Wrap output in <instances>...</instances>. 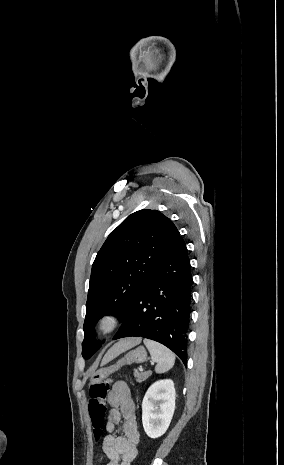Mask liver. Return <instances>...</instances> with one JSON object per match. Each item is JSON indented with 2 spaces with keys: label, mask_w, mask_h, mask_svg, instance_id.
I'll return each instance as SVG.
<instances>
[{
  "label": "liver",
  "mask_w": 284,
  "mask_h": 465,
  "mask_svg": "<svg viewBox=\"0 0 284 465\" xmlns=\"http://www.w3.org/2000/svg\"><path fill=\"white\" fill-rule=\"evenodd\" d=\"M140 341V337H127V339H120L119 343H115V345L109 349L108 353L104 355L101 367L106 365V363H109V361H113V359L118 357L120 353H124V351L132 349V347H135V345H139Z\"/></svg>",
  "instance_id": "liver-1"
}]
</instances>
